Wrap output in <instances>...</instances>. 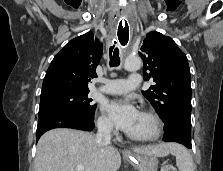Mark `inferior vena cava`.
Masks as SVG:
<instances>
[{"label": "inferior vena cava", "mask_w": 223, "mask_h": 171, "mask_svg": "<svg viewBox=\"0 0 223 171\" xmlns=\"http://www.w3.org/2000/svg\"><path fill=\"white\" fill-rule=\"evenodd\" d=\"M96 142L99 146H108L111 144V126L107 123L98 125Z\"/></svg>", "instance_id": "obj_1"}]
</instances>
